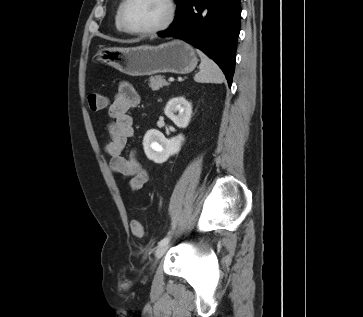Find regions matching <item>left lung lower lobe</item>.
<instances>
[{
    "label": "left lung lower lobe",
    "mask_w": 363,
    "mask_h": 317,
    "mask_svg": "<svg viewBox=\"0 0 363 317\" xmlns=\"http://www.w3.org/2000/svg\"><path fill=\"white\" fill-rule=\"evenodd\" d=\"M176 2L173 23L158 36L178 37L201 49L220 66L231 86L240 31V0Z\"/></svg>",
    "instance_id": "1"
}]
</instances>
